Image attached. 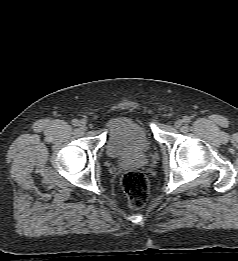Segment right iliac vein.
I'll return each instance as SVG.
<instances>
[{
    "label": "right iliac vein",
    "instance_id": "right-iliac-vein-1",
    "mask_svg": "<svg viewBox=\"0 0 238 261\" xmlns=\"http://www.w3.org/2000/svg\"><path fill=\"white\" fill-rule=\"evenodd\" d=\"M79 127H80V129H81L82 131H85V130L87 129V125H86L84 122H81V123L79 124Z\"/></svg>",
    "mask_w": 238,
    "mask_h": 261
}]
</instances>
